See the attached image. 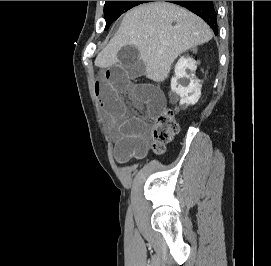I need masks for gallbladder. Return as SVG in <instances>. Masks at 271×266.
I'll list each match as a JSON object with an SVG mask.
<instances>
[{"label":"gallbladder","mask_w":271,"mask_h":266,"mask_svg":"<svg viewBox=\"0 0 271 266\" xmlns=\"http://www.w3.org/2000/svg\"><path fill=\"white\" fill-rule=\"evenodd\" d=\"M118 64L126 71L130 79H135L145 74V64L140 59L139 51L134 46H124L118 52Z\"/></svg>","instance_id":"bac80fb5"}]
</instances>
